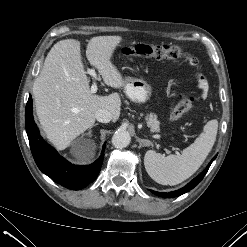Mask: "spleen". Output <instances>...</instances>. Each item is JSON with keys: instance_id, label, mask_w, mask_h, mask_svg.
Listing matches in <instances>:
<instances>
[{"instance_id": "1", "label": "spleen", "mask_w": 247, "mask_h": 247, "mask_svg": "<svg viewBox=\"0 0 247 247\" xmlns=\"http://www.w3.org/2000/svg\"><path fill=\"white\" fill-rule=\"evenodd\" d=\"M218 121H208L201 135L181 155L163 156L148 150L144 165L148 175L162 185H177L191 177L210 153L217 136Z\"/></svg>"}]
</instances>
